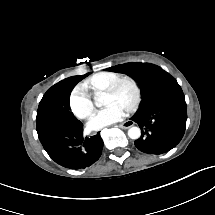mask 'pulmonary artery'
I'll list each match as a JSON object with an SVG mask.
<instances>
[{
  "instance_id": "obj_1",
  "label": "pulmonary artery",
  "mask_w": 215,
  "mask_h": 215,
  "mask_svg": "<svg viewBox=\"0 0 215 215\" xmlns=\"http://www.w3.org/2000/svg\"><path fill=\"white\" fill-rule=\"evenodd\" d=\"M95 82H96L97 86L104 88V87L108 86L110 79H109L108 75L101 73V74L97 75Z\"/></svg>"
}]
</instances>
